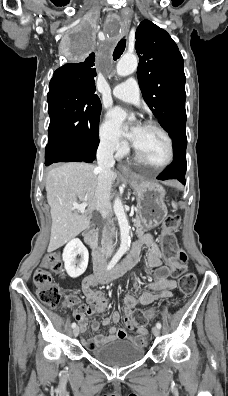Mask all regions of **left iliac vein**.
Returning <instances> with one entry per match:
<instances>
[{
  "mask_svg": "<svg viewBox=\"0 0 228 396\" xmlns=\"http://www.w3.org/2000/svg\"><path fill=\"white\" fill-rule=\"evenodd\" d=\"M152 333H153L155 336H159V334H160V329H159L158 327H153V328H152Z\"/></svg>",
  "mask_w": 228,
  "mask_h": 396,
  "instance_id": "1",
  "label": "left iliac vein"
}]
</instances>
